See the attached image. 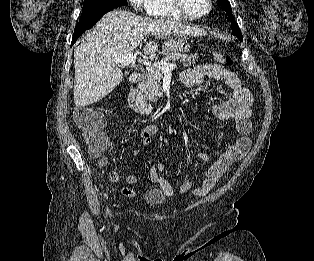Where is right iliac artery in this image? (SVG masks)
Segmentation results:
<instances>
[{
	"label": "right iliac artery",
	"mask_w": 314,
	"mask_h": 261,
	"mask_svg": "<svg viewBox=\"0 0 314 261\" xmlns=\"http://www.w3.org/2000/svg\"><path fill=\"white\" fill-rule=\"evenodd\" d=\"M106 212L109 214V210H108V208H107Z\"/></svg>",
	"instance_id": "1"
}]
</instances>
